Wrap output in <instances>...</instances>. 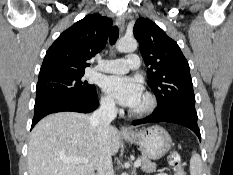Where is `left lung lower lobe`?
Instances as JSON below:
<instances>
[{"label": "left lung lower lobe", "mask_w": 233, "mask_h": 175, "mask_svg": "<svg viewBox=\"0 0 233 175\" xmlns=\"http://www.w3.org/2000/svg\"><path fill=\"white\" fill-rule=\"evenodd\" d=\"M155 122H171L183 125L191 129L201 140V134L197 125V112L194 105H179L163 112H153L146 118L135 120L133 125Z\"/></svg>", "instance_id": "1"}]
</instances>
